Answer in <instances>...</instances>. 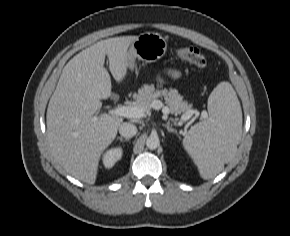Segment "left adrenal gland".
<instances>
[{
    "instance_id": "a2214340",
    "label": "left adrenal gland",
    "mask_w": 290,
    "mask_h": 236,
    "mask_svg": "<svg viewBox=\"0 0 290 236\" xmlns=\"http://www.w3.org/2000/svg\"><path fill=\"white\" fill-rule=\"evenodd\" d=\"M165 127L167 128L168 132H171V133L178 135L177 131L175 129L171 128L169 126V124H166Z\"/></svg>"
}]
</instances>
